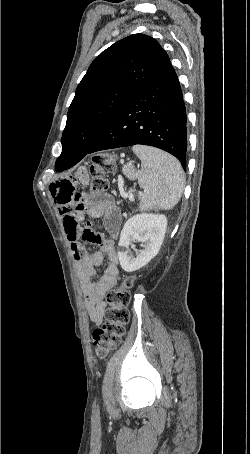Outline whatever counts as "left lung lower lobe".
I'll return each mask as SVG.
<instances>
[{
  "label": "left lung lower lobe",
  "mask_w": 250,
  "mask_h": 454,
  "mask_svg": "<svg viewBox=\"0 0 250 454\" xmlns=\"http://www.w3.org/2000/svg\"><path fill=\"white\" fill-rule=\"evenodd\" d=\"M186 109L178 77L170 61L113 116L85 154L136 144L174 155L186 170ZM85 155L62 154L55 170L77 164Z\"/></svg>",
  "instance_id": "0a47b994"
}]
</instances>
